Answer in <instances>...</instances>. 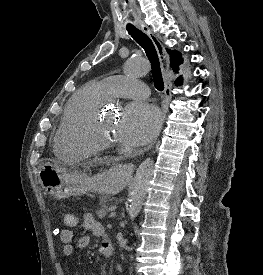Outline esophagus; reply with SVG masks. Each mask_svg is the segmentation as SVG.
<instances>
[{
    "instance_id": "1",
    "label": "esophagus",
    "mask_w": 263,
    "mask_h": 275,
    "mask_svg": "<svg viewBox=\"0 0 263 275\" xmlns=\"http://www.w3.org/2000/svg\"><path fill=\"white\" fill-rule=\"evenodd\" d=\"M138 28L143 32H145L150 37V39L152 40L156 48V51L160 60L163 79L165 83V90H164L165 98L162 103V122H163L166 116L168 102L171 96V79L169 76V57L162 43L145 24L139 25ZM155 142H156V139L150 145L144 148V151L151 149L154 146ZM121 169L126 173L131 174L134 171L135 166L132 163H127V164H124L121 167Z\"/></svg>"
}]
</instances>
